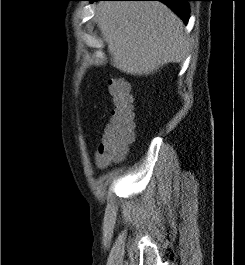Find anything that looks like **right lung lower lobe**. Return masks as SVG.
<instances>
[{"mask_svg":"<svg viewBox=\"0 0 245 265\" xmlns=\"http://www.w3.org/2000/svg\"><path fill=\"white\" fill-rule=\"evenodd\" d=\"M91 2L94 1H103V0H88ZM124 1H161L168 5L182 20L187 23L189 19V6L188 1L191 0H124Z\"/></svg>","mask_w":245,"mask_h":265,"instance_id":"1","label":"right lung lower lobe"}]
</instances>
